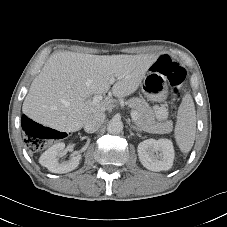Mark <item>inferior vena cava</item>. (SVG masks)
<instances>
[{
  "mask_svg": "<svg viewBox=\"0 0 227 227\" xmlns=\"http://www.w3.org/2000/svg\"><path fill=\"white\" fill-rule=\"evenodd\" d=\"M105 119V114L103 112H98L93 115H90L84 123V130L87 133H94L96 132L101 125L103 124Z\"/></svg>",
  "mask_w": 227,
  "mask_h": 227,
  "instance_id": "inferior-vena-cava-1",
  "label": "inferior vena cava"
}]
</instances>
